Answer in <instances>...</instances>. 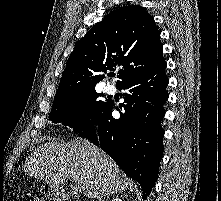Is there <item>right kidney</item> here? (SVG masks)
<instances>
[{"mask_svg": "<svg viewBox=\"0 0 221 201\" xmlns=\"http://www.w3.org/2000/svg\"><path fill=\"white\" fill-rule=\"evenodd\" d=\"M112 201H122L120 198H115Z\"/></svg>", "mask_w": 221, "mask_h": 201, "instance_id": "obj_1", "label": "right kidney"}]
</instances>
